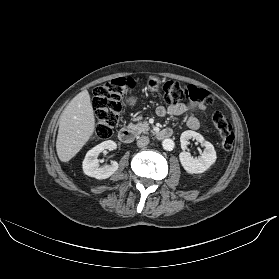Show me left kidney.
<instances>
[{
	"label": "left kidney",
	"instance_id": "5707ae66",
	"mask_svg": "<svg viewBox=\"0 0 279 279\" xmlns=\"http://www.w3.org/2000/svg\"><path fill=\"white\" fill-rule=\"evenodd\" d=\"M194 139L205 147L204 151L198 157H193L185 149L189 140ZM181 148L183 152L179 154V159L183 168L190 174L203 173L210 168L216 161V151L214 146L206 141L204 137L192 130L184 131L180 136Z\"/></svg>",
	"mask_w": 279,
	"mask_h": 279
}]
</instances>
